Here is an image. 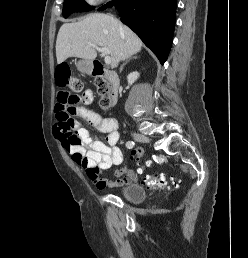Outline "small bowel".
Listing matches in <instances>:
<instances>
[{
	"label": "small bowel",
	"mask_w": 248,
	"mask_h": 258,
	"mask_svg": "<svg viewBox=\"0 0 248 258\" xmlns=\"http://www.w3.org/2000/svg\"><path fill=\"white\" fill-rule=\"evenodd\" d=\"M64 92H60L59 97ZM93 92L89 89L84 90L78 97V104L73 108V114L86 120L99 132L106 134L105 141L93 139L88 131L82 127L79 122H73V127L78 135V141L72 142L62 133L59 124L55 126V132L58 136L64 150L71 156L72 160L88 169L97 167L100 170H108L112 166H117L123 162L122 151L117 146L119 141L118 123L114 118H103L99 113L91 110L89 107L93 104ZM92 148L94 151L89 152ZM133 155V154H132ZM116 180L108 181L92 176L96 187L100 190L106 188L124 187L136 180L134 172L127 167L115 171Z\"/></svg>",
	"instance_id": "c3829d8e"
}]
</instances>
